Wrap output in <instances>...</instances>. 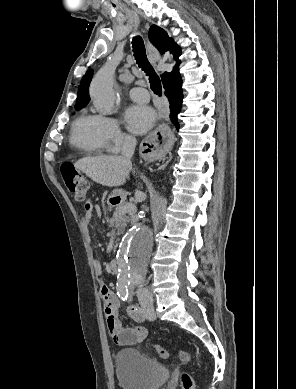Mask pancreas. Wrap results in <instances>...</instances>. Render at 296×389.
<instances>
[{"instance_id": "cf45deb5", "label": "pancreas", "mask_w": 296, "mask_h": 389, "mask_svg": "<svg viewBox=\"0 0 296 389\" xmlns=\"http://www.w3.org/2000/svg\"><path fill=\"white\" fill-rule=\"evenodd\" d=\"M125 205L126 204H121L116 207L115 211L113 212L112 218L108 220L109 226L116 227L117 234L124 232L127 223L130 221L129 215H126V213H122V208Z\"/></svg>"}]
</instances>
